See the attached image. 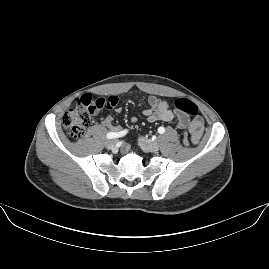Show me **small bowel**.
Masks as SVG:
<instances>
[{
  "label": "small bowel",
  "mask_w": 269,
  "mask_h": 269,
  "mask_svg": "<svg viewBox=\"0 0 269 269\" xmlns=\"http://www.w3.org/2000/svg\"><path fill=\"white\" fill-rule=\"evenodd\" d=\"M147 105L148 107L143 111V113L147 116L148 121L151 123L156 121L171 122L175 119V116H177L178 125L180 127H187L188 125L192 127L194 124H198L199 126L194 127V132L198 134L194 137L193 142L197 143L199 141L202 135L204 124L201 117L195 118L190 123L188 113L181 112L180 109H175L173 113L169 109L167 101L157 98L155 96H151L148 98ZM136 121L137 119L134 117L131 119V122L133 123H135ZM101 124L111 129H117L114 123V117L112 115H106L105 117H103L101 119ZM124 150L127 151L128 147H125Z\"/></svg>",
  "instance_id": "small-bowel-1"
}]
</instances>
